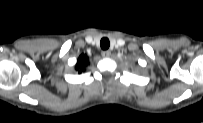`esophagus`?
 I'll return each mask as SVG.
<instances>
[{
  "mask_svg": "<svg viewBox=\"0 0 203 123\" xmlns=\"http://www.w3.org/2000/svg\"><path fill=\"white\" fill-rule=\"evenodd\" d=\"M102 56H103L104 58H108V57H110V56H111V52H110V51H108V50L103 51V52H102Z\"/></svg>",
  "mask_w": 203,
  "mask_h": 123,
  "instance_id": "esophagus-1",
  "label": "esophagus"
}]
</instances>
